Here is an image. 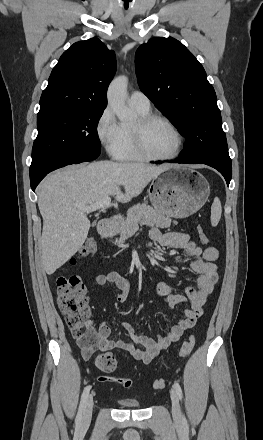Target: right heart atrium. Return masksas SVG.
Listing matches in <instances>:
<instances>
[{
	"mask_svg": "<svg viewBox=\"0 0 263 440\" xmlns=\"http://www.w3.org/2000/svg\"><path fill=\"white\" fill-rule=\"evenodd\" d=\"M95 130L98 141L105 151L115 156L123 143L124 130L109 106H106L100 113Z\"/></svg>",
	"mask_w": 263,
	"mask_h": 440,
	"instance_id": "1",
	"label": "right heart atrium"
}]
</instances>
